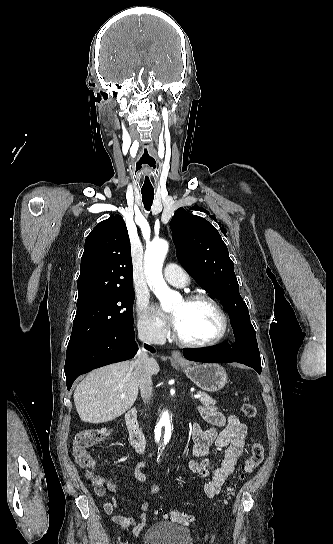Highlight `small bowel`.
<instances>
[{
    "mask_svg": "<svg viewBox=\"0 0 333 544\" xmlns=\"http://www.w3.org/2000/svg\"><path fill=\"white\" fill-rule=\"evenodd\" d=\"M199 412L202 418L210 425L209 428H201L194 423L191 426L193 445L191 454L194 459L187 463L190 472L203 477H209L204 485L205 494L212 498L217 496L228 477L234 472L242 454L247 436V426L235 415H224L212 405L200 406ZM211 447L216 453H221L222 460L214 466L209 455ZM145 462H139L134 467V477L140 483H146L147 478L143 473ZM96 496L103 497L107 492L116 493L117 484L113 477H99L93 483ZM158 487L154 486L148 493L154 497ZM116 502L107 501L103 505L104 512L111 520L122 529L132 527V534L138 535L147 525L146 512L150 509L147 502L141 504L142 513L137 516L123 515L116 512Z\"/></svg>",
    "mask_w": 333,
    "mask_h": 544,
    "instance_id": "c3829d8e",
    "label": "small bowel"
}]
</instances>
